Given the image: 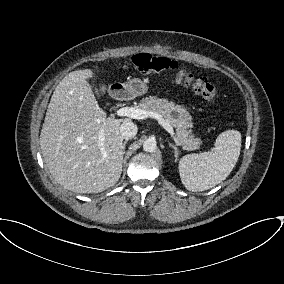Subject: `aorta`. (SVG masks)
Returning <instances> with one entry per match:
<instances>
[{
  "mask_svg": "<svg viewBox=\"0 0 284 284\" xmlns=\"http://www.w3.org/2000/svg\"><path fill=\"white\" fill-rule=\"evenodd\" d=\"M143 149L146 152H154L156 150V140L148 138L143 143Z\"/></svg>",
  "mask_w": 284,
  "mask_h": 284,
  "instance_id": "762f6f07",
  "label": "aorta"
}]
</instances>
